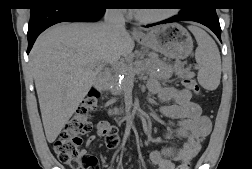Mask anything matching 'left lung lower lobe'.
Masks as SVG:
<instances>
[{
  "label": "left lung lower lobe",
  "mask_w": 252,
  "mask_h": 169,
  "mask_svg": "<svg viewBox=\"0 0 252 169\" xmlns=\"http://www.w3.org/2000/svg\"><path fill=\"white\" fill-rule=\"evenodd\" d=\"M179 21H194V22L201 23L207 26L209 29H211L221 41V28H220L219 19H218L215 9L201 10V11H196V12L188 13V14H179L171 19H168V20L156 23V24L148 25L147 27H151V26L163 24V23H172V22H179Z\"/></svg>",
  "instance_id": "0a47b994"
}]
</instances>
